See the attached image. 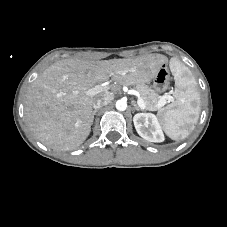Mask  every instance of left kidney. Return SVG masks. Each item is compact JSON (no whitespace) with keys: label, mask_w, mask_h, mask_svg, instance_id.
<instances>
[{"label":"left kidney","mask_w":227,"mask_h":227,"mask_svg":"<svg viewBox=\"0 0 227 227\" xmlns=\"http://www.w3.org/2000/svg\"><path fill=\"white\" fill-rule=\"evenodd\" d=\"M137 133L149 142H163L164 134L155 114L137 113L133 117Z\"/></svg>","instance_id":"obj_1"}]
</instances>
